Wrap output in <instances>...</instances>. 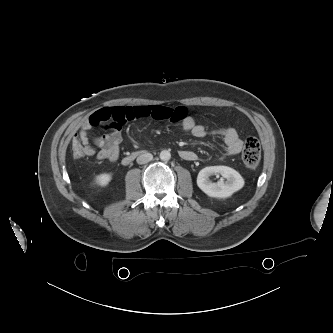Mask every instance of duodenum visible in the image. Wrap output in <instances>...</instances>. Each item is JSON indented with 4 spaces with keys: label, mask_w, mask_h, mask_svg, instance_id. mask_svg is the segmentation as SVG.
Masks as SVG:
<instances>
[{
    "label": "duodenum",
    "mask_w": 333,
    "mask_h": 333,
    "mask_svg": "<svg viewBox=\"0 0 333 333\" xmlns=\"http://www.w3.org/2000/svg\"><path fill=\"white\" fill-rule=\"evenodd\" d=\"M143 151H133L127 156H125L122 160L123 165H129L132 163L139 155H141Z\"/></svg>",
    "instance_id": "410a0bca"
}]
</instances>
